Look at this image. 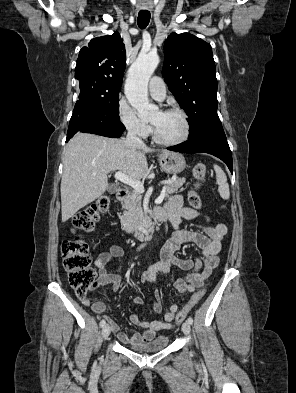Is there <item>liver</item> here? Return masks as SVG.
<instances>
[{
  "label": "liver",
  "instance_id": "6515ba94",
  "mask_svg": "<svg viewBox=\"0 0 296 393\" xmlns=\"http://www.w3.org/2000/svg\"><path fill=\"white\" fill-rule=\"evenodd\" d=\"M154 151L147 146L129 147L123 139L77 133L63 156L62 222L105 193L108 173L119 170L137 180L144 178L148 174L145 154Z\"/></svg>",
  "mask_w": 296,
  "mask_h": 393
}]
</instances>
